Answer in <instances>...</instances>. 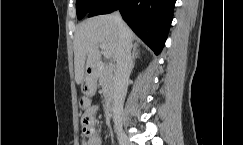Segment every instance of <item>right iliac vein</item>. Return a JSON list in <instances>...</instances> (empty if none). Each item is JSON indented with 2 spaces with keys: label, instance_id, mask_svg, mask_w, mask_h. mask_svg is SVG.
I'll use <instances>...</instances> for the list:
<instances>
[{
  "label": "right iliac vein",
  "instance_id": "63e3f726",
  "mask_svg": "<svg viewBox=\"0 0 243 145\" xmlns=\"http://www.w3.org/2000/svg\"><path fill=\"white\" fill-rule=\"evenodd\" d=\"M118 140L120 145H134L125 134H120Z\"/></svg>",
  "mask_w": 243,
  "mask_h": 145
}]
</instances>
